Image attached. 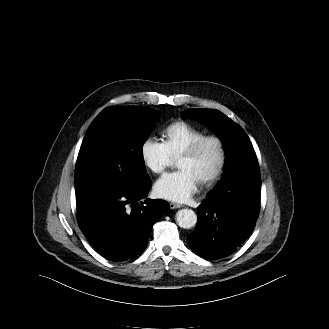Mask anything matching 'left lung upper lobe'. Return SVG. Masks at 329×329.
Segmentation results:
<instances>
[{"instance_id": "5c2ea615", "label": "left lung upper lobe", "mask_w": 329, "mask_h": 329, "mask_svg": "<svg viewBox=\"0 0 329 329\" xmlns=\"http://www.w3.org/2000/svg\"><path fill=\"white\" fill-rule=\"evenodd\" d=\"M183 118L196 119L209 125L222 140L227 148V161L225 171L214 190L206 198L220 200L224 198L225 185L231 180L241 177L249 172L250 168L258 164L252 143L244 130L229 117L213 109H187Z\"/></svg>"}]
</instances>
